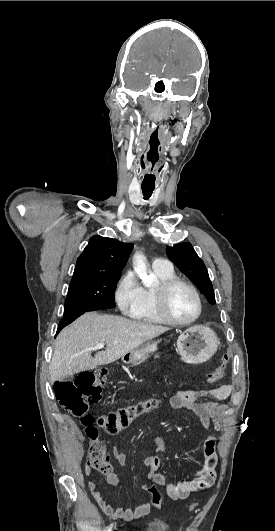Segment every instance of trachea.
<instances>
[{"instance_id": "obj_1", "label": "trachea", "mask_w": 275, "mask_h": 531, "mask_svg": "<svg viewBox=\"0 0 275 531\" xmlns=\"http://www.w3.org/2000/svg\"><path fill=\"white\" fill-rule=\"evenodd\" d=\"M142 191H143L144 198L148 199V198H150L151 194L153 193L154 187L142 186Z\"/></svg>"}]
</instances>
